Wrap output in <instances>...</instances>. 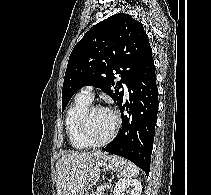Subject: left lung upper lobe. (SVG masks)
<instances>
[{"mask_svg":"<svg viewBox=\"0 0 211 195\" xmlns=\"http://www.w3.org/2000/svg\"><path fill=\"white\" fill-rule=\"evenodd\" d=\"M153 59L143 25L129 14H115L94 25L73 48L62 88V111L77 90L94 86L119 106L122 84L129 87L143 66ZM114 74L121 80L114 83Z\"/></svg>","mask_w":211,"mask_h":195,"instance_id":"5c2ea615","label":"left lung upper lobe"}]
</instances>
